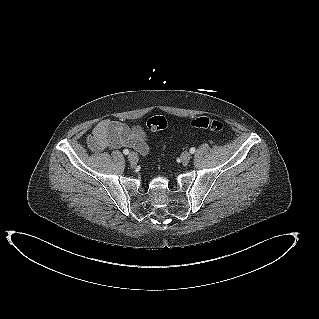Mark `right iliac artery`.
Returning <instances> with one entry per match:
<instances>
[{
	"label": "right iliac artery",
	"instance_id": "1",
	"mask_svg": "<svg viewBox=\"0 0 319 319\" xmlns=\"http://www.w3.org/2000/svg\"><path fill=\"white\" fill-rule=\"evenodd\" d=\"M123 153H124L125 155H128V154H129V150H128V149H124V150H123Z\"/></svg>",
	"mask_w": 319,
	"mask_h": 319
}]
</instances>
